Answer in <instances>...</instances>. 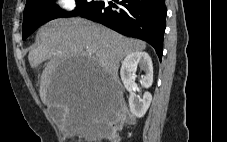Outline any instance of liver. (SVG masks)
I'll list each match as a JSON object with an SVG mask.
<instances>
[{
  "mask_svg": "<svg viewBox=\"0 0 227 142\" xmlns=\"http://www.w3.org/2000/svg\"><path fill=\"white\" fill-rule=\"evenodd\" d=\"M38 46L28 55L31 68L38 69L47 60L40 79L39 94L48 108H62L66 118L62 129L66 134L79 133L82 118L87 116L89 102L97 97L101 84L119 85L120 61L146 48V43L127 38L105 26L81 18H59L42 26L37 32ZM60 61H93L95 78L90 88H65L56 81Z\"/></svg>",
  "mask_w": 227,
  "mask_h": 142,
  "instance_id": "liver-1",
  "label": "liver"
}]
</instances>
